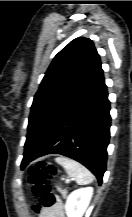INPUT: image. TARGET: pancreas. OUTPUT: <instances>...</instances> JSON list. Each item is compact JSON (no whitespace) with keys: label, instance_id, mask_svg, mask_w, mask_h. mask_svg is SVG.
<instances>
[{"label":"pancreas","instance_id":"cf45deb5","mask_svg":"<svg viewBox=\"0 0 132 217\" xmlns=\"http://www.w3.org/2000/svg\"><path fill=\"white\" fill-rule=\"evenodd\" d=\"M59 191L61 192V194L63 195V197L65 198L66 197V194H67V191L64 189V190H61L59 189Z\"/></svg>","mask_w":132,"mask_h":217}]
</instances>
